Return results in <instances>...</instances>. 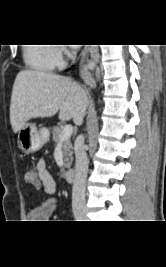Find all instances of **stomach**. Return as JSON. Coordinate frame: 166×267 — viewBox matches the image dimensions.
Instances as JSON below:
<instances>
[{
	"label": "stomach",
	"mask_w": 166,
	"mask_h": 267,
	"mask_svg": "<svg viewBox=\"0 0 166 267\" xmlns=\"http://www.w3.org/2000/svg\"><path fill=\"white\" fill-rule=\"evenodd\" d=\"M49 140V130L38 129L32 123H26L18 132V146L25 153H33L42 148Z\"/></svg>",
	"instance_id": "1"
}]
</instances>
